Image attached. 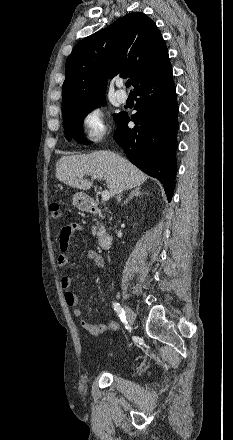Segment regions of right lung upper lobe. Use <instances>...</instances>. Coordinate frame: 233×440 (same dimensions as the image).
Instances as JSON below:
<instances>
[{"mask_svg":"<svg viewBox=\"0 0 233 440\" xmlns=\"http://www.w3.org/2000/svg\"><path fill=\"white\" fill-rule=\"evenodd\" d=\"M156 24L134 12L81 40L68 56L62 108L105 98L108 79L129 77L134 89L170 66Z\"/></svg>","mask_w":233,"mask_h":440,"instance_id":"obj_1","label":"right lung upper lobe"}]
</instances>
